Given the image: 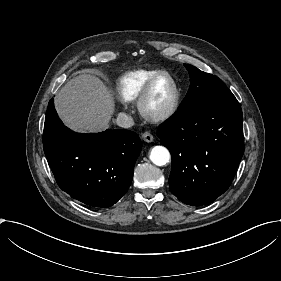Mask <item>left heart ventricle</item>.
Returning a JSON list of instances; mask_svg holds the SVG:
<instances>
[{"mask_svg":"<svg viewBox=\"0 0 281 281\" xmlns=\"http://www.w3.org/2000/svg\"><path fill=\"white\" fill-rule=\"evenodd\" d=\"M173 95V87L168 79L161 80L155 87L149 109L153 112H160L166 109Z\"/></svg>","mask_w":281,"mask_h":281,"instance_id":"left-heart-ventricle-1","label":"left heart ventricle"}]
</instances>
